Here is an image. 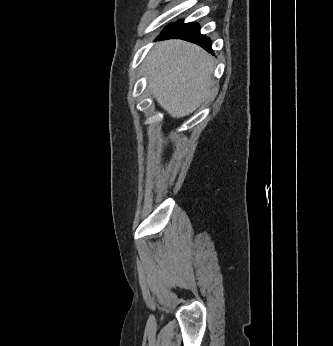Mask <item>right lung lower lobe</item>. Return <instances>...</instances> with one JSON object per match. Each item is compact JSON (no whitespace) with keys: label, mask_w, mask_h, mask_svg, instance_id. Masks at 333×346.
Returning a JSON list of instances; mask_svg holds the SVG:
<instances>
[{"label":"right lung lower lobe","mask_w":333,"mask_h":346,"mask_svg":"<svg viewBox=\"0 0 333 346\" xmlns=\"http://www.w3.org/2000/svg\"><path fill=\"white\" fill-rule=\"evenodd\" d=\"M183 39L193 42L208 52L213 53L211 48V40L205 35L200 34V26L197 23L184 24L178 21L165 29L159 39Z\"/></svg>","instance_id":"1"}]
</instances>
